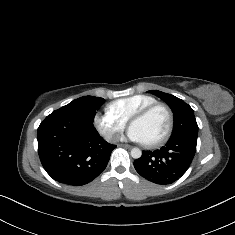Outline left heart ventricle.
I'll list each match as a JSON object with an SVG mask.
<instances>
[{
  "label": "left heart ventricle",
  "mask_w": 235,
  "mask_h": 235,
  "mask_svg": "<svg viewBox=\"0 0 235 235\" xmlns=\"http://www.w3.org/2000/svg\"><path fill=\"white\" fill-rule=\"evenodd\" d=\"M168 116L163 110H155L149 116L136 120L131 126L142 135L144 143H150L163 136L168 128Z\"/></svg>",
  "instance_id": "left-heart-ventricle-1"
}]
</instances>
